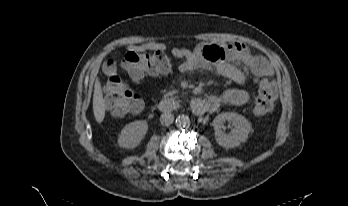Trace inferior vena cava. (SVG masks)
I'll use <instances>...</instances> for the list:
<instances>
[{
	"label": "inferior vena cava",
	"mask_w": 348,
	"mask_h": 206,
	"mask_svg": "<svg viewBox=\"0 0 348 206\" xmlns=\"http://www.w3.org/2000/svg\"><path fill=\"white\" fill-rule=\"evenodd\" d=\"M173 121H174V115L169 111L164 112L160 117L161 124L166 126L170 125Z\"/></svg>",
	"instance_id": "inferior-vena-cava-1"
}]
</instances>
